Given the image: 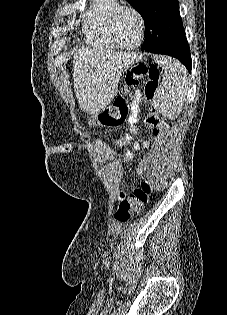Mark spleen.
I'll use <instances>...</instances> for the list:
<instances>
[{
	"mask_svg": "<svg viewBox=\"0 0 227 315\" xmlns=\"http://www.w3.org/2000/svg\"><path fill=\"white\" fill-rule=\"evenodd\" d=\"M155 61L164 69L162 85L155 97L156 107L168 118L177 117L188 90L186 71L178 62L164 56H157Z\"/></svg>",
	"mask_w": 227,
	"mask_h": 315,
	"instance_id": "1",
	"label": "spleen"
}]
</instances>
